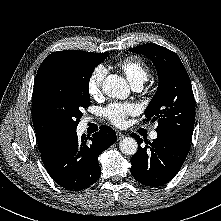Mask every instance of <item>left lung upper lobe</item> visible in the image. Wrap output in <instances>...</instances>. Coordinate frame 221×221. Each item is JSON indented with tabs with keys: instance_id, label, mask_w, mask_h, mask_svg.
<instances>
[{
	"instance_id": "5c2ea615",
	"label": "left lung upper lobe",
	"mask_w": 221,
	"mask_h": 221,
	"mask_svg": "<svg viewBox=\"0 0 221 221\" xmlns=\"http://www.w3.org/2000/svg\"><path fill=\"white\" fill-rule=\"evenodd\" d=\"M130 51L150 58L159 78L157 92L145 110V121H156L158 133L177 135L191 141L195 101L188 73L179 57L156 44L140 45Z\"/></svg>"
}]
</instances>
